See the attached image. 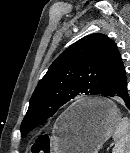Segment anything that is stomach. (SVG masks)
Masks as SVG:
<instances>
[{
  "label": "stomach",
  "mask_w": 130,
  "mask_h": 153,
  "mask_svg": "<svg viewBox=\"0 0 130 153\" xmlns=\"http://www.w3.org/2000/svg\"><path fill=\"white\" fill-rule=\"evenodd\" d=\"M86 108L83 113H77ZM121 114L106 98L72 104L58 119L53 132L57 153H98L114 133Z\"/></svg>",
  "instance_id": "stomach-1"
}]
</instances>
